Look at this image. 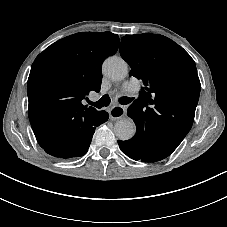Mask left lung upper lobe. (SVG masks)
Masks as SVG:
<instances>
[{
	"mask_svg": "<svg viewBox=\"0 0 227 227\" xmlns=\"http://www.w3.org/2000/svg\"><path fill=\"white\" fill-rule=\"evenodd\" d=\"M120 53L130 75L145 85L128 116L137 129L175 150L191 129L199 99L195 62L177 43L152 33L122 37Z\"/></svg>",
	"mask_w": 227,
	"mask_h": 227,
	"instance_id": "obj_1",
	"label": "left lung upper lobe"
}]
</instances>
